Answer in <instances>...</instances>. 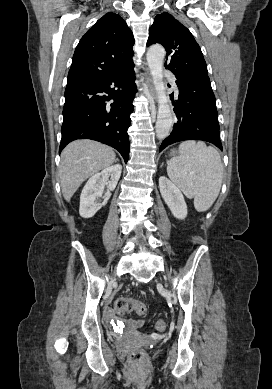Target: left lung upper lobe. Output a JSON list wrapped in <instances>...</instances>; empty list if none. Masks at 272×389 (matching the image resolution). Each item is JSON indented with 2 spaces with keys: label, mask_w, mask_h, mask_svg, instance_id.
<instances>
[{
  "label": "left lung upper lobe",
  "mask_w": 272,
  "mask_h": 389,
  "mask_svg": "<svg viewBox=\"0 0 272 389\" xmlns=\"http://www.w3.org/2000/svg\"><path fill=\"white\" fill-rule=\"evenodd\" d=\"M161 43L166 51L165 67L176 77L208 76L206 62L191 32L169 13L155 17L147 46Z\"/></svg>",
  "instance_id": "5c2ea615"
}]
</instances>
